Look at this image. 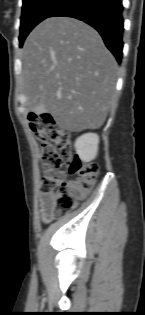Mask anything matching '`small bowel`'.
Masks as SVG:
<instances>
[{"label":"small bowel","instance_id":"1","mask_svg":"<svg viewBox=\"0 0 145 315\" xmlns=\"http://www.w3.org/2000/svg\"><path fill=\"white\" fill-rule=\"evenodd\" d=\"M54 194H51L49 196H46L44 194H41L39 197L40 202V208H41V216L44 222H50L54 219L55 213L53 210L52 203H47L46 200L49 198L51 201L54 198Z\"/></svg>","mask_w":145,"mask_h":315}]
</instances>
